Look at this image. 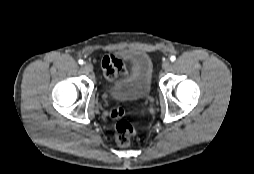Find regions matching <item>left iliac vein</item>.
Wrapping results in <instances>:
<instances>
[{"instance_id": "obj_1", "label": "left iliac vein", "mask_w": 254, "mask_h": 174, "mask_svg": "<svg viewBox=\"0 0 254 174\" xmlns=\"http://www.w3.org/2000/svg\"><path fill=\"white\" fill-rule=\"evenodd\" d=\"M162 67H163V69L164 70H168V69H170V67H171V62H170V60H165L163 63H162Z\"/></svg>"}]
</instances>
